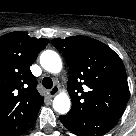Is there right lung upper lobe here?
<instances>
[{"instance_id":"cb5924a9","label":"right lung upper lobe","mask_w":136,"mask_h":136,"mask_svg":"<svg viewBox=\"0 0 136 136\" xmlns=\"http://www.w3.org/2000/svg\"><path fill=\"white\" fill-rule=\"evenodd\" d=\"M48 42L19 31L0 36V136H20L35 123L44 97L30 66Z\"/></svg>"}]
</instances>
